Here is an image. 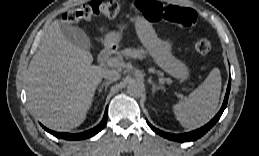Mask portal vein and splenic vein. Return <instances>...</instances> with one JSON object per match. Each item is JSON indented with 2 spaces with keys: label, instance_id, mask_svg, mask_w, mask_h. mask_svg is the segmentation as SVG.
I'll use <instances>...</instances> for the list:
<instances>
[{
  "label": "portal vein and splenic vein",
  "instance_id": "18ae733b",
  "mask_svg": "<svg viewBox=\"0 0 259 156\" xmlns=\"http://www.w3.org/2000/svg\"><path fill=\"white\" fill-rule=\"evenodd\" d=\"M107 65L110 67H118L120 65V60L116 57L107 60Z\"/></svg>",
  "mask_w": 259,
  "mask_h": 156
}]
</instances>
